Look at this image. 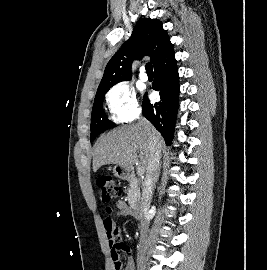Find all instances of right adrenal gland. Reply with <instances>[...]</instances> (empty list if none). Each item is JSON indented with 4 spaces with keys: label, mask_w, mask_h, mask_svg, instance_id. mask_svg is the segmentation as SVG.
<instances>
[{
    "label": "right adrenal gland",
    "mask_w": 267,
    "mask_h": 270,
    "mask_svg": "<svg viewBox=\"0 0 267 270\" xmlns=\"http://www.w3.org/2000/svg\"><path fill=\"white\" fill-rule=\"evenodd\" d=\"M160 168H161V167H159V174H160Z\"/></svg>",
    "instance_id": "2a0ac1e0"
}]
</instances>
